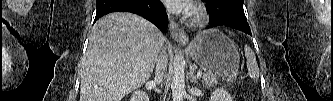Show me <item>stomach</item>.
I'll use <instances>...</instances> for the list:
<instances>
[{
	"label": "stomach",
	"mask_w": 333,
	"mask_h": 101,
	"mask_svg": "<svg viewBox=\"0 0 333 101\" xmlns=\"http://www.w3.org/2000/svg\"><path fill=\"white\" fill-rule=\"evenodd\" d=\"M192 59L208 75L233 81L239 69L240 56L233 41L218 30L199 33L189 45Z\"/></svg>",
	"instance_id": "0dacf381"
}]
</instances>
